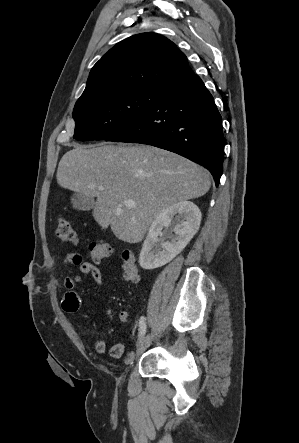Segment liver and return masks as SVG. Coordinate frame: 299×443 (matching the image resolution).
<instances>
[{
	"label": "liver",
	"instance_id": "obj_1",
	"mask_svg": "<svg viewBox=\"0 0 299 443\" xmlns=\"http://www.w3.org/2000/svg\"><path fill=\"white\" fill-rule=\"evenodd\" d=\"M57 183L96 197L93 217L124 242H140L169 206L205 195L210 174L194 162L151 146H75L61 158ZM103 187V190H99ZM133 200L134 207L124 205Z\"/></svg>",
	"mask_w": 299,
	"mask_h": 443
}]
</instances>
